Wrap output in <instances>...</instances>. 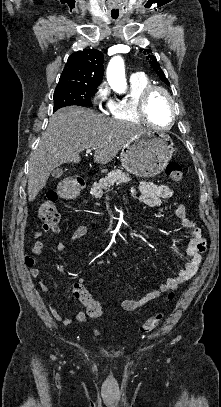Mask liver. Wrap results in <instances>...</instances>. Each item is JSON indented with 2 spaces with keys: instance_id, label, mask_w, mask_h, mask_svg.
I'll use <instances>...</instances> for the list:
<instances>
[{
  "instance_id": "obj_1",
  "label": "liver",
  "mask_w": 221,
  "mask_h": 407,
  "mask_svg": "<svg viewBox=\"0 0 221 407\" xmlns=\"http://www.w3.org/2000/svg\"><path fill=\"white\" fill-rule=\"evenodd\" d=\"M144 131L139 125L106 118L91 109L77 106L59 109L49 119L48 127L31 155L28 201H34L56 167L63 163H79L84 150L94 149V162L107 164Z\"/></svg>"
}]
</instances>
